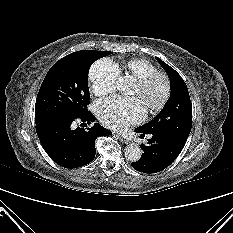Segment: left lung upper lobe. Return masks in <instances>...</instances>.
Masks as SVG:
<instances>
[{
    "label": "left lung upper lobe",
    "instance_id": "1",
    "mask_svg": "<svg viewBox=\"0 0 233 233\" xmlns=\"http://www.w3.org/2000/svg\"><path fill=\"white\" fill-rule=\"evenodd\" d=\"M156 59L170 79L171 94L161 112L152 121L137 129L145 133L161 131L185 145L192 126V105L187 86L172 67L161 59Z\"/></svg>",
    "mask_w": 233,
    "mask_h": 233
}]
</instances>
